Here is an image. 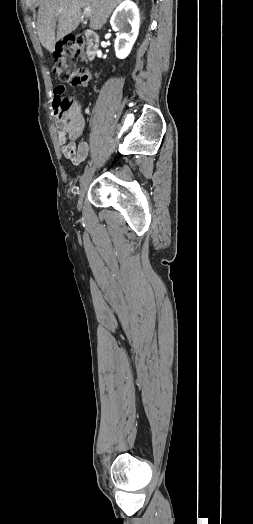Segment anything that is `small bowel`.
<instances>
[{"mask_svg":"<svg viewBox=\"0 0 253 524\" xmlns=\"http://www.w3.org/2000/svg\"><path fill=\"white\" fill-rule=\"evenodd\" d=\"M64 91L65 87L62 85L55 88L53 104ZM85 125L83 105L79 101H73L69 111L55 126L61 153L75 165L82 164L88 155L89 144L85 141L77 142L84 133Z\"/></svg>","mask_w":253,"mask_h":524,"instance_id":"1","label":"small bowel"}]
</instances>
